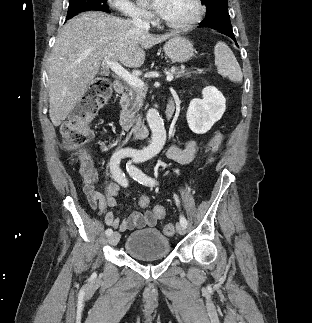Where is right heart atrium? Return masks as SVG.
I'll list each match as a JSON object with an SVG mask.
<instances>
[{
	"label": "right heart atrium",
	"instance_id": "d8ad5b80",
	"mask_svg": "<svg viewBox=\"0 0 312 323\" xmlns=\"http://www.w3.org/2000/svg\"><path fill=\"white\" fill-rule=\"evenodd\" d=\"M113 13H122L123 17H150V10H141L135 2H126V0H105Z\"/></svg>",
	"mask_w": 312,
	"mask_h": 323
}]
</instances>
